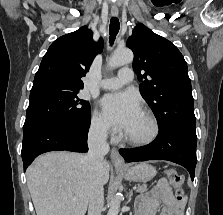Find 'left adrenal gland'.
Listing matches in <instances>:
<instances>
[{
	"instance_id": "left-adrenal-gland-1",
	"label": "left adrenal gland",
	"mask_w": 223,
	"mask_h": 215,
	"mask_svg": "<svg viewBox=\"0 0 223 215\" xmlns=\"http://www.w3.org/2000/svg\"><path fill=\"white\" fill-rule=\"evenodd\" d=\"M132 195H133V189H130L129 195H128V201H130Z\"/></svg>"
}]
</instances>
